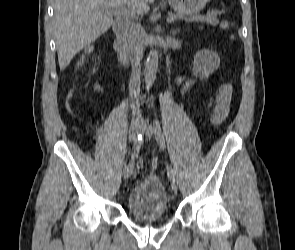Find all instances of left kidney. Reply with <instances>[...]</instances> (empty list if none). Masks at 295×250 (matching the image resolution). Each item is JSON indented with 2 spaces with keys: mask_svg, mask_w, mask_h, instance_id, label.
<instances>
[{
  "mask_svg": "<svg viewBox=\"0 0 295 250\" xmlns=\"http://www.w3.org/2000/svg\"><path fill=\"white\" fill-rule=\"evenodd\" d=\"M220 65V58L214 51L202 49L194 56L193 74L200 79L208 78Z\"/></svg>",
  "mask_w": 295,
  "mask_h": 250,
  "instance_id": "1",
  "label": "left kidney"
}]
</instances>
